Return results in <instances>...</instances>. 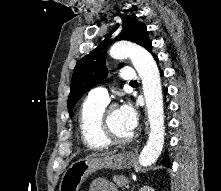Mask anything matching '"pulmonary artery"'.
<instances>
[{
	"label": "pulmonary artery",
	"mask_w": 221,
	"mask_h": 191,
	"mask_svg": "<svg viewBox=\"0 0 221 191\" xmlns=\"http://www.w3.org/2000/svg\"><path fill=\"white\" fill-rule=\"evenodd\" d=\"M120 77L125 82H132L137 79V74L133 69L125 67L121 70ZM88 97L93 100L102 101L106 103H108L109 101L108 92L103 87H98V88L91 90L89 92Z\"/></svg>",
	"instance_id": "1"
}]
</instances>
